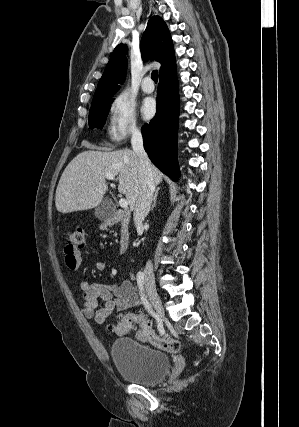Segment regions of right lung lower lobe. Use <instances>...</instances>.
<instances>
[{"label":"right lung lower lobe","instance_id":"98d812e1","mask_svg":"<svg viewBox=\"0 0 299 427\" xmlns=\"http://www.w3.org/2000/svg\"><path fill=\"white\" fill-rule=\"evenodd\" d=\"M159 78L156 115L142 127L144 148L154 165L177 181L179 95L176 70Z\"/></svg>","mask_w":299,"mask_h":427}]
</instances>
